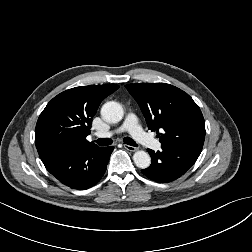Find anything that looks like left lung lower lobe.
Masks as SVG:
<instances>
[{
    "instance_id": "obj_1",
    "label": "left lung lower lobe",
    "mask_w": 252,
    "mask_h": 252,
    "mask_svg": "<svg viewBox=\"0 0 252 252\" xmlns=\"http://www.w3.org/2000/svg\"><path fill=\"white\" fill-rule=\"evenodd\" d=\"M152 163L142 173L160 183L171 182L181 177L197 160L201 152L183 147H162V151L147 149Z\"/></svg>"
}]
</instances>
